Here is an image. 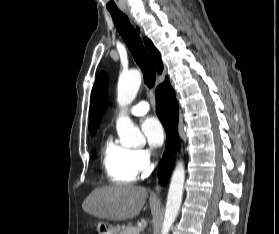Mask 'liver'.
Masks as SVG:
<instances>
[{
  "label": "liver",
  "mask_w": 279,
  "mask_h": 234,
  "mask_svg": "<svg viewBox=\"0 0 279 234\" xmlns=\"http://www.w3.org/2000/svg\"><path fill=\"white\" fill-rule=\"evenodd\" d=\"M148 196L144 187L113 185L94 189L83 201L82 209L95 217L112 221L137 216Z\"/></svg>",
  "instance_id": "1"
}]
</instances>
